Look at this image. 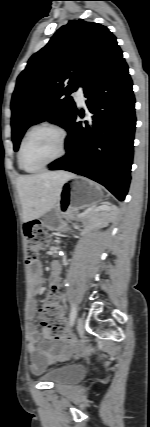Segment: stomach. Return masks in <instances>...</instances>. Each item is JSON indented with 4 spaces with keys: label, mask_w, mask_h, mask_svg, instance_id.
I'll use <instances>...</instances> for the list:
<instances>
[{
    "label": "stomach",
    "mask_w": 150,
    "mask_h": 427,
    "mask_svg": "<svg viewBox=\"0 0 150 427\" xmlns=\"http://www.w3.org/2000/svg\"><path fill=\"white\" fill-rule=\"evenodd\" d=\"M102 190L95 183L80 177L66 181L61 189L54 210L55 216L70 218L78 210L92 206L101 201Z\"/></svg>",
    "instance_id": "1"
}]
</instances>
